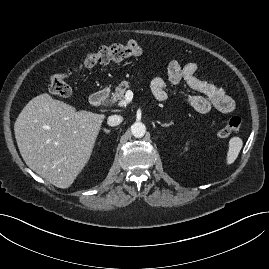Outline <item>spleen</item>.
Masks as SVG:
<instances>
[{"mask_svg": "<svg viewBox=\"0 0 269 269\" xmlns=\"http://www.w3.org/2000/svg\"><path fill=\"white\" fill-rule=\"evenodd\" d=\"M242 146H243V141L239 137H232L229 140V148H228L227 158H226L227 165L232 164L236 160Z\"/></svg>", "mask_w": 269, "mask_h": 269, "instance_id": "3e777b00", "label": "spleen"}]
</instances>
